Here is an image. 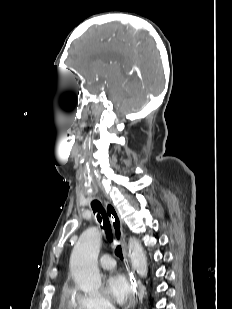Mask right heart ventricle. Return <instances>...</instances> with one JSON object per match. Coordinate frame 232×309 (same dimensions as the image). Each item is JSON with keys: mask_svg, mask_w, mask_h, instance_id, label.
<instances>
[{"mask_svg": "<svg viewBox=\"0 0 232 309\" xmlns=\"http://www.w3.org/2000/svg\"><path fill=\"white\" fill-rule=\"evenodd\" d=\"M63 307H65L66 309H77L74 303H70V302L64 303Z\"/></svg>", "mask_w": 232, "mask_h": 309, "instance_id": "right-heart-ventricle-1", "label": "right heart ventricle"}]
</instances>
